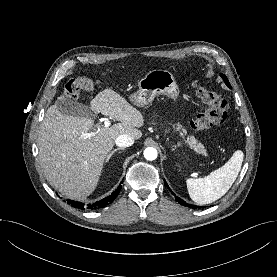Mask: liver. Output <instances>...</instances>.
Returning a JSON list of instances; mask_svg holds the SVG:
<instances>
[{"instance_id":"6515ba94","label":"liver","mask_w":277,"mask_h":277,"mask_svg":"<svg viewBox=\"0 0 277 277\" xmlns=\"http://www.w3.org/2000/svg\"><path fill=\"white\" fill-rule=\"evenodd\" d=\"M95 113L120 123L101 127L86 117L62 113L51 105L38 131L39 161L50 185L71 199H83L97 187L108 153L116 138L127 134L138 140L144 115L112 88H105L90 102ZM97 133L85 137L94 128Z\"/></svg>"}]
</instances>
